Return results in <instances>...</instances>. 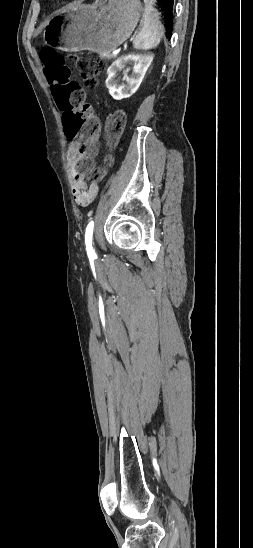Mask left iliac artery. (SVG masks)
Listing matches in <instances>:
<instances>
[{"instance_id": "left-iliac-artery-1", "label": "left iliac artery", "mask_w": 253, "mask_h": 548, "mask_svg": "<svg viewBox=\"0 0 253 548\" xmlns=\"http://www.w3.org/2000/svg\"><path fill=\"white\" fill-rule=\"evenodd\" d=\"M93 229H94V222L91 221L87 225L86 232H85V245L86 250L89 258H96V253L92 246V238H93Z\"/></svg>"}]
</instances>
